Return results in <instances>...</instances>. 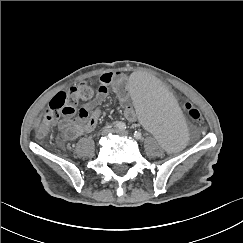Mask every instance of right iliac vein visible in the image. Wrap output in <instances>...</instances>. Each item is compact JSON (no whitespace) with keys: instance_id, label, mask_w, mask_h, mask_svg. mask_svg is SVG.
<instances>
[{"instance_id":"obj_1","label":"right iliac vein","mask_w":243,"mask_h":243,"mask_svg":"<svg viewBox=\"0 0 243 243\" xmlns=\"http://www.w3.org/2000/svg\"><path fill=\"white\" fill-rule=\"evenodd\" d=\"M113 131V129H111L110 127H106L102 130L101 134L103 136H107L109 133H111Z\"/></svg>"}]
</instances>
